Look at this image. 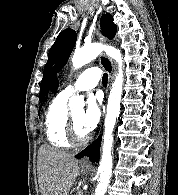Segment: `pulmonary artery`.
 Returning <instances> with one entry per match:
<instances>
[{"mask_svg":"<svg viewBox=\"0 0 178 195\" xmlns=\"http://www.w3.org/2000/svg\"><path fill=\"white\" fill-rule=\"evenodd\" d=\"M100 75L99 68H88L83 71L74 82L67 85L61 93L70 97L74 93L92 89L98 84Z\"/></svg>","mask_w":178,"mask_h":195,"instance_id":"pulmonary-artery-1","label":"pulmonary artery"}]
</instances>
